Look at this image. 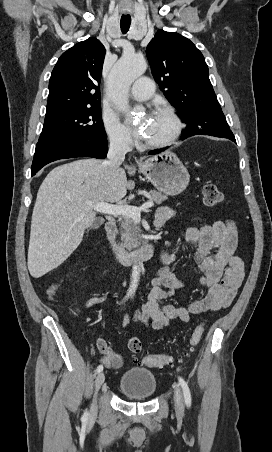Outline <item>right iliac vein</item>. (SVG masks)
<instances>
[{"instance_id":"1","label":"right iliac vein","mask_w":272,"mask_h":452,"mask_svg":"<svg viewBox=\"0 0 272 452\" xmlns=\"http://www.w3.org/2000/svg\"><path fill=\"white\" fill-rule=\"evenodd\" d=\"M104 381H105V375L103 372H100L97 375L96 380H95V397H96L98 390L103 385ZM96 411H97V405H96V400L94 399L93 404H92V412L95 414Z\"/></svg>"}]
</instances>
